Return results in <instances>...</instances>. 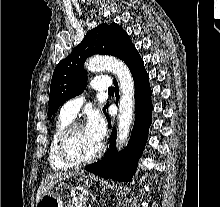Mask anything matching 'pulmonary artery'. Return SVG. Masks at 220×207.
Masks as SVG:
<instances>
[{"label":"pulmonary artery","instance_id":"e3ab8cb5","mask_svg":"<svg viewBox=\"0 0 220 207\" xmlns=\"http://www.w3.org/2000/svg\"><path fill=\"white\" fill-rule=\"evenodd\" d=\"M111 85L112 83L108 76H98L91 81L90 88L95 91H105L108 90ZM85 99V95H79L68 100L61 107L60 114L73 120L85 102Z\"/></svg>","mask_w":220,"mask_h":207}]
</instances>
